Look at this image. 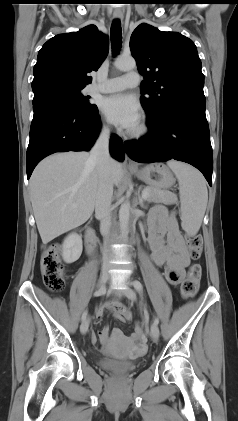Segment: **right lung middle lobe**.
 <instances>
[{"label": "right lung middle lobe", "instance_id": "dd1d6c3e", "mask_svg": "<svg viewBox=\"0 0 238 421\" xmlns=\"http://www.w3.org/2000/svg\"><path fill=\"white\" fill-rule=\"evenodd\" d=\"M83 88L59 82H48L32 86L34 98L43 94L57 95L68 100L83 112L93 113L97 110V106L89 102V96L82 94Z\"/></svg>", "mask_w": 238, "mask_h": 421}]
</instances>
